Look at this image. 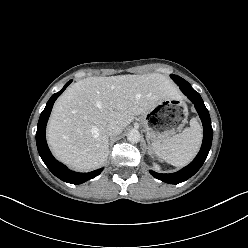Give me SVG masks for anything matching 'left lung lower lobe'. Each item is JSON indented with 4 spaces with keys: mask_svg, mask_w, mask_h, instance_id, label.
I'll return each mask as SVG.
<instances>
[{
    "mask_svg": "<svg viewBox=\"0 0 248 248\" xmlns=\"http://www.w3.org/2000/svg\"><path fill=\"white\" fill-rule=\"evenodd\" d=\"M180 89L194 104L203 124L204 136L201 149L195 159L179 172L172 174H160L154 171H150V173L155 178L170 184H178L183 181H186L201 168L205 159L207 158L213 138V130L211 126L209 112L206 109L200 94L197 93L191 86L180 87Z\"/></svg>",
    "mask_w": 248,
    "mask_h": 248,
    "instance_id": "1",
    "label": "left lung lower lobe"
}]
</instances>
